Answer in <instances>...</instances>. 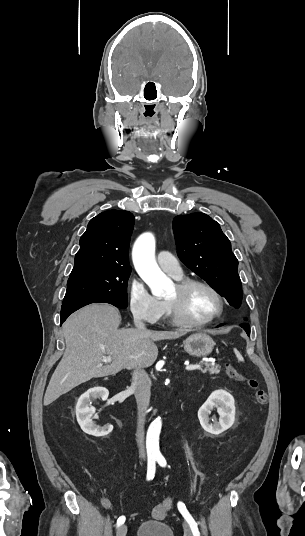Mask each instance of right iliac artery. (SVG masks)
I'll list each match as a JSON object with an SVG mask.
<instances>
[{
    "instance_id": "right-iliac-artery-1",
    "label": "right iliac artery",
    "mask_w": 305,
    "mask_h": 536,
    "mask_svg": "<svg viewBox=\"0 0 305 536\" xmlns=\"http://www.w3.org/2000/svg\"><path fill=\"white\" fill-rule=\"evenodd\" d=\"M155 469H156V458L152 457L148 459V467H147V480H152L155 475ZM125 522V516H120L117 520V527L122 525Z\"/></svg>"
}]
</instances>
